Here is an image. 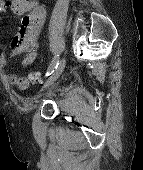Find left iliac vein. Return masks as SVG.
Masks as SVG:
<instances>
[{"instance_id":"left-iliac-vein-1","label":"left iliac vein","mask_w":143,"mask_h":170,"mask_svg":"<svg viewBox=\"0 0 143 170\" xmlns=\"http://www.w3.org/2000/svg\"><path fill=\"white\" fill-rule=\"evenodd\" d=\"M65 65H66V59L62 58L60 60V62L58 63V67L54 70V72L51 75V77L45 83L44 89L49 88L59 78V76L61 75V73L63 72V70L65 68Z\"/></svg>"}]
</instances>
